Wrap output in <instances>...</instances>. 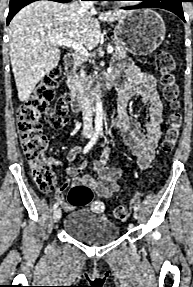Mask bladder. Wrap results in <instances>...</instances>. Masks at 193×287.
<instances>
[{
	"label": "bladder",
	"instance_id": "1",
	"mask_svg": "<svg viewBox=\"0 0 193 287\" xmlns=\"http://www.w3.org/2000/svg\"><path fill=\"white\" fill-rule=\"evenodd\" d=\"M63 229L73 238L91 245L108 243L120 236V228L115 223L86 208L69 213Z\"/></svg>",
	"mask_w": 193,
	"mask_h": 287
}]
</instances>
